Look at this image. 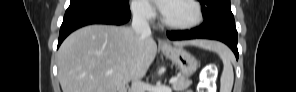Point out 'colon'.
<instances>
[{
    "mask_svg": "<svg viewBox=\"0 0 296 92\" xmlns=\"http://www.w3.org/2000/svg\"><path fill=\"white\" fill-rule=\"evenodd\" d=\"M216 77V67L208 65L203 70L200 76V92H210V86L213 84Z\"/></svg>",
    "mask_w": 296,
    "mask_h": 92,
    "instance_id": "5ec220e1",
    "label": "colon"
}]
</instances>
